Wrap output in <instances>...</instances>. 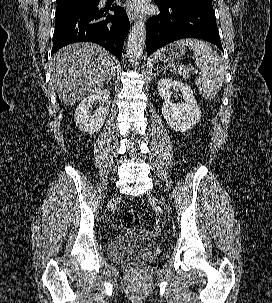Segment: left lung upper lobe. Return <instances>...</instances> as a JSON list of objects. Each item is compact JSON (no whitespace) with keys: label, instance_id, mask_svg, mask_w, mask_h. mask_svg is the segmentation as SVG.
Segmentation results:
<instances>
[{"label":"left lung upper lobe","instance_id":"left-lung-upper-lobe-1","mask_svg":"<svg viewBox=\"0 0 272 303\" xmlns=\"http://www.w3.org/2000/svg\"><path fill=\"white\" fill-rule=\"evenodd\" d=\"M166 7L202 6L212 7V0H156Z\"/></svg>","mask_w":272,"mask_h":303}]
</instances>
